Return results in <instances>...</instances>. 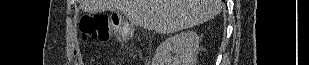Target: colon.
I'll list each match as a JSON object with an SVG mask.
<instances>
[{
	"label": "colon",
	"mask_w": 309,
	"mask_h": 65,
	"mask_svg": "<svg viewBox=\"0 0 309 65\" xmlns=\"http://www.w3.org/2000/svg\"><path fill=\"white\" fill-rule=\"evenodd\" d=\"M79 29L84 41L91 39L105 43L115 36L120 42L125 43L132 38L129 28L119 24L110 15L85 14L80 19Z\"/></svg>",
	"instance_id": "colon-1"
}]
</instances>
